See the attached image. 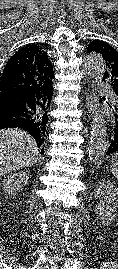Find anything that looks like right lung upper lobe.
<instances>
[{
    "label": "right lung upper lobe",
    "mask_w": 118,
    "mask_h": 269,
    "mask_svg": "<svg viewBox=\"0 0 118 269\" xmlns=\"http://www.w3.org/2000/svg\"><path fill=\"white\" fill-rule=\"evenodd\" d=\"M53 77V66L47 54L36 44H31L8 60L0 79V93H32L36 96V139L47 132Z\"/></svg>",
    "instance_id": "cb5924a9"
}]
</instances>
